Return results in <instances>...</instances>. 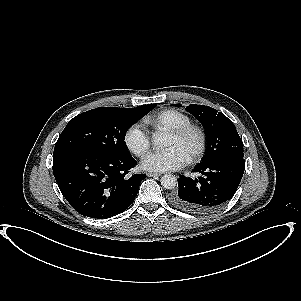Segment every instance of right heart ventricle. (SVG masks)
<instances>
[{
    "label": "right heart ventricle",
    "mask_w": 301,
    "mask_h": 301,
    "mask_svg": "<svg viewBox=\"0 0 301 301\" xmlns=\"http://www.w3.org/2000/svg\"><path fill=\"white\" fill-rule=\"evenodd\" d=\"M149 123L157 132H160L189 126L191 121L186 115L181 112L168 110L161 113L156 118L150 120Z\"/></svg>",
    "instance_id": "right-heart-ventricle-1"
}]
</instances>
